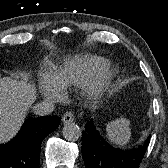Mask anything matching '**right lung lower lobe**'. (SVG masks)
<instances>
[{"instance_id":"1","label":"right lung lower lobe","mask_w":168,"mask_h":168,"mask_svg":"<svg viewBox=\"0 0 168 168\" xmlns=\"http://www.w3.org/2000/svg\"><path fill=\"white\" fill-rule=\"evenodd\" d=\"M59 123L56 116L27 119L12 141L0 144V168H38L41 142Z\"/></svg>"}]
</instances>
